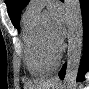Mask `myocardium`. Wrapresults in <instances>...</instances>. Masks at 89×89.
<instances>
[{
  "instance_id": "f54148a6",
  "label": "myocardium",
  "mask_w": 89,
  "mask_h": 89,
  "mask_svg": "<svg viewBox=\"0 0 89 89\" xmlns=\"http://www.w3.org/2000/svg\"><path fill=\"white\" fill-rule=\"evenodd\" d=\"M38 40H39L40 48H41L44 56L48 60H52L57 63L63 53V50H64L63 44L51 46L45 40L40 27H38Z\"/></svg>"
}]
</instances>
